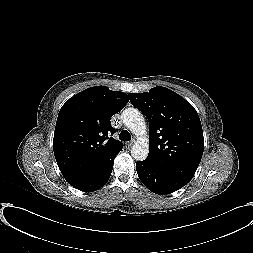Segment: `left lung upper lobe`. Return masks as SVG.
Here are the masks:
<instances>
[{"label": "left lung upper lobe", "instance_id": "obj_1", "mask_svg": "<svg viewBox=\"0 0 253 253\" xmlns=\"http://www.w3.org/2000/svg\"><path fill=\"white\" fill-rule=\"evenodd\" d=\"M149 121V154L144 160L185 182L194 176L204 150L203 131L194 107L165 87L128 94Z\"/></svg>", "mask_w": 253, "mask_h": 253}]
</instances>
